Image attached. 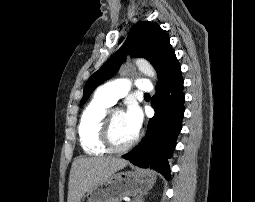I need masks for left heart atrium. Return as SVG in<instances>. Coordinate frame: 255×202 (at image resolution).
<instances>
[{"mask_svg":"<svg viewBox=\"0 0 255 202\" xmlns=\"http://www.w3.org/2000/svg\"><path fill=\"white\" fill-rule=\"evenodd\" d=\"M124 118L131 130L135 134H138L143 122V115L140 107L134 103H130L124 113Z\"/></svg>","mask_w":255,"mask_h":202,"instance_id":"39dd6f15","label":"left heart atrium"}]
</instances>
